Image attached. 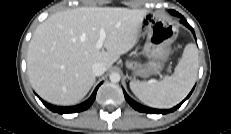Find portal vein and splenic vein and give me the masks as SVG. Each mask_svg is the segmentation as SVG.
<instances>
[{"label":"portal vein and splenic vein","instance_id":"portal-vein-and-splenic-vein-1","mask_svg":"<svg viewBox=\"0 0 231 134\" xmlns=\"http://www.w3.org/2000/svg\"><path fill=\"white\" fill-rule=\"evenodd\" d=\"M105 39H106V33H105L104 29L101 28L100 29V36H99V39H98V41L96 43V48L97 49H101L102 48Z\"/></svg>","mask_w":231,"mask_h":134}]
</instances>
